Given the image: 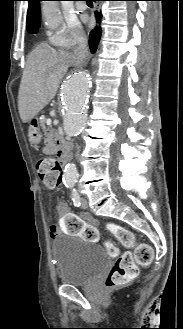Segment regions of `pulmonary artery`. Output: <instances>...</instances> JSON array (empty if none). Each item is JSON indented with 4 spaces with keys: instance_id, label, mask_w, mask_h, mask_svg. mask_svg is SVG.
<instances>
[{
    "instance_id": "pulmonary-artery-1",
    "label": "pulmonary artery",
    "mask_w": 183,
    "mask_h": 329,
    "mask_svg": "<svg viewBox=\"0 0 183 329\" xmlns=\"http://www.w3.org/2000/svg\"><path fill=\"white\" fill-rule=\"evenodd\" d=\"M76 9L79 12H83V11H85L87 9V6L84 3H80V4H77L76 5Z\"/></svg>"
}]
</instances>
